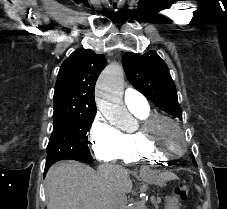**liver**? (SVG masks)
<instances>
[{
	"label": "liver",
	"mask_w": 227,
	"mask_h": 209,
	"mask_svg": "<svg viewBox=\"0 0 227 209\" xmlns=\"http://www.w3.org/2000/svg\"><path fill=\"white\" fill-rule=\"evenodd\" d=\"M113 171L109 165L94 171L77 161L56 163L46 177L47 209H105Z\"/></svg>",
	"instance_id": "liver-1"
}]
</instances>
